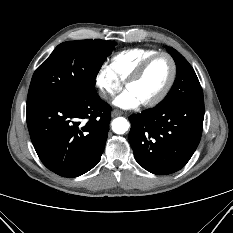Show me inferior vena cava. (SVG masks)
Listing matches in <instances>:
<instances>
[{"instance_id":"1","label":"inferior vena cava","mask_w":233,"mask_h":233,"mask_svg":"<svg viewBox=\"0 0 233 233\" xmlns=\"http://www.w3.org/2000/svg\"><path fill=\"white\" fill-rule=\"evenodd\" d=\"M102 97H103V98H107V94H106V93H103V94H102Z\"/></svg>"}]
</instances>
